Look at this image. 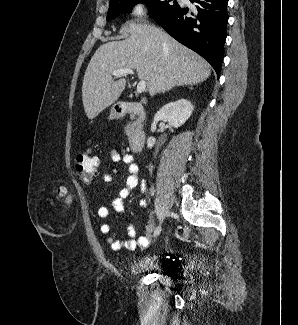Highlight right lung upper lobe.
<instances>
[{"label": "right lung upper lobe", "mask_w": 298, "mask_h": 325, "mask_svg": "<svg viewBox=\"0 0 298 325\" xmlns=\"http://www.w3.org/2000/svg\"><path fill=\"white\" fill-rule=\"evenodd\" d=\"M113 1H115V0H110V2H113Z\"/></svg>", "instance_id": "obj_1"}]
</instances>
